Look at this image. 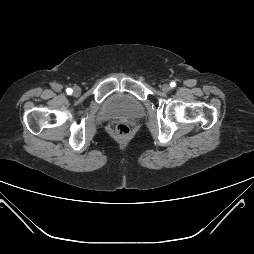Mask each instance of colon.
Returning <instances> with one entry per match:
<instances>
[{
  "label": "colon",
  "mask_w": 254,
  "mask_h": 254,
  "mask_svg": "<svg viewBox=\"0 0 254 254\" xmlns=\"http://www.w3.org/2000/svg\"><path fill=\"white\" fill-rule=\"evenodd\" d=\"M115 131L118 136L126 137L130 133V127L126 123H119L116 125Z\"/></svg>",
  "instance_id": "1"
}]
</instances>
